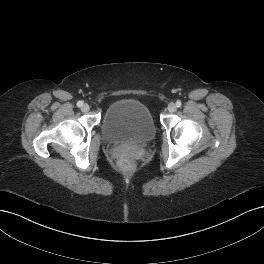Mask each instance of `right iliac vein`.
<instances>
[{"instance_id":"obj_1","label":"right iliac vein","mask_w":264,"mask_h":264,"mask_svg":"<svg viewBox=\"0 0 264 264\" xmlns=\"http://www.w3.org/2000/svg\"><path fill=\"white\" fill-rule=\"evenodd\" d=\"M90 109L89 105L88 104H84L81 108L82 112L86 113L88 112Z\"/></svg>"}]
</instances>
